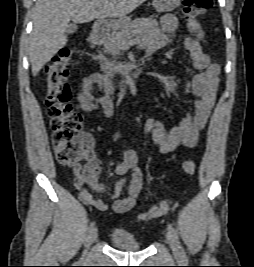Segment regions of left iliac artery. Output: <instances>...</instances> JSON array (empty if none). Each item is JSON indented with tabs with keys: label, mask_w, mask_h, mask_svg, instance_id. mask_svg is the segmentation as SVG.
<instances>
[{
	"label": "left iliac artery",
	"mask_w": 254,
	"mask_h": 267,
	"mask_svg": "<svg viewBox=\"0 0 254 267\" xmlns=\"http://www.w3.org/2000/svg\"><path fill=\"white\" fill-rule=\"evenodd\" d=\"M167 228L168 230L175 236L176 239H178L177 237V234H176V231L175 229L173 228V226L171 224H168L167 225ZM178 244H179V249H180V253H181V256L182 258L185 260L187 257H186V253H185V250L183 249V247L180 245V242L177 241Z\"/></svg>",
	"instance_id": "44dca946"
}]
</instances>
